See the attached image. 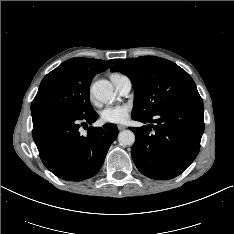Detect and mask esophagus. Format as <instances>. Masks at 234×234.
I'll return each mask as SVG.
<instances>
[{
  "label": "esophagus",
  "instance_id": "esophagus-1",
  "mask_svg": "<svg viewBox=\"0 0 234 234\" xmlns=\"http://www.w3.org/2000/svg\"><path fill=\"white\" fill-rule=\"evenodd\" d=\"M124 129H126L125 126H123V125H118V130L122 131V130H124Z\"/></svg>",
  "mask_w": 234,
  "mask_h": 234
}]
</instances>
